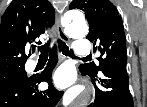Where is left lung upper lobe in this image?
Masks as SVG:
<instances>
[{"mask_svg": "<svg viewBox=\"0 0 147 107\" xmlns=\"http://www.w3.org/2000/svg\"><path fill=\"white\" fill-rule=\"evenodd\" d=\"M70 9H81L89 20L88 38L98 48L99 65L81 64L79 68L97 74L113 61H127L126 38L121 17L109 0H73Z\"/></svg>", "mask_w": 147, "mask_h": 107, "instance_id": "5c2ea615", "label": "left lung upper lobe"}]
</instances>
